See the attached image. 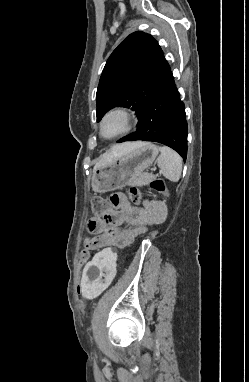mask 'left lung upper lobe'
Segmentation results:
<instances>
[{
	"mask_svg": "<svg viewBox=\"0 0 249 382\" xmlns=\"http://www.w3.org/2000/svg\"><path fill=\"white\" fill-rule=\"evenodd\" d=\"M170 71L157 41L134 32L112 52L97 90V121L114 107H127L140 119Z\"/></svg>",
	"mask_w": 249,
	"mask_h": 382,
	"instance_id": "left-lung-upper-lobe-1",
	"label": "left lung upper lobe"
}]
</instances>
